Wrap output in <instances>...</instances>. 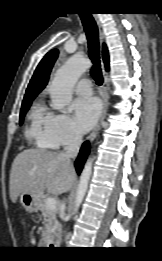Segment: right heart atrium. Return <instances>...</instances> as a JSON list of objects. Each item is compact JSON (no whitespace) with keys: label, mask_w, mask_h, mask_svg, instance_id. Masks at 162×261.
I'll list each match as a JSON object with an SVG mask.
<instances>
[{"label":"right heart atrium","mask_w":162,"mask_h":261,"mask_svg":"<svg viewBox=\"0 0 162 261\" xmlns=\"http://www.w3.org/2000/svg\"><path fill=\"white\" fill-rule=\"evenodd\" d=\"M45 133L53 147L72 146L80 140V133L72 120L63 113L51 114L45 127Z\"/></svg>","instance_id":"right-heart-atrium-1"}]
</instances>
